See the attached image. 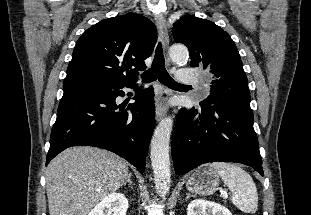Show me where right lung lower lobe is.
<instances>
[{"label":"right lung lower lobe","mask_w":311,"mask_h":215,"mask_svg":"<svg viewBox=\"0 0 311 215\" xmlns=\"http://www.w3.org/2000/svg\"><path fill=\"white\" fill-rule=\"evenodd\" d=\"M134 84L99 81L84 89L64 91L53 125L46 165L71 146H94L118 154L143 173L155 125L154 94L146 89L127 109L118 108L122 88ZM131 111L128 113L127 111Z\"/></svg>","instance_id":"obj_1"}]
</instances>
